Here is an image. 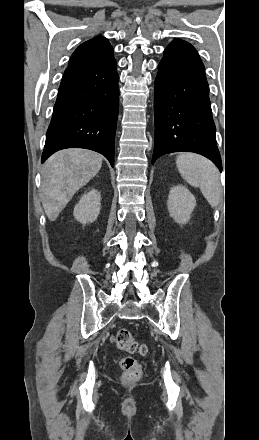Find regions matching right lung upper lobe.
<instances>
[{
	"label": "right lung upper lobe",
	"mask_w": 259,
	"mask_h": 440,
	"mask_svg": "<svg viewBox=\"0 0 259 440\" xmlns=\"http://www.w3.org/2000/svg\"><path fill=\"white\" fill-rule=\"evenodd\" d=\"M112 55L113 48L109 41L102 36H97L84 42L74 51L68 67L94 64Z\"/></svg>",
	"instance_id": "obj_1"
}]
</instances>
